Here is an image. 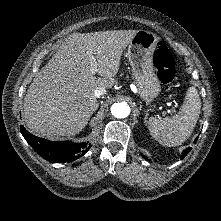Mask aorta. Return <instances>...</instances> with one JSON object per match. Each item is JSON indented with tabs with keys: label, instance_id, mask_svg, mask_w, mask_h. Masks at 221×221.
I'll list each match as a JSON object with an SVG mask.
<instances>
[{
	"label": "aorta",
	"instance_id": "aorta-1",
	"mask_svg": "<svg viewBox=\"0 0 221 221\" xmlns=\"http://www.w3.org/2000/svg\"><path fill=\"white\" fill-rule=\"evenodd\" d=\"M111 113L116 118H125L130 114V107L126 103H114Z\"/></svg>",
	"mask_w": 221,
	"mask_h": 221
}]
</instances>
